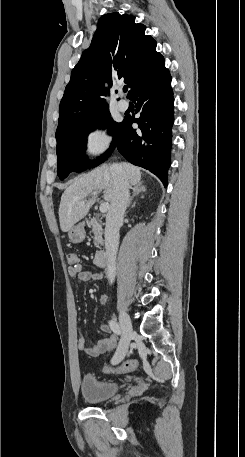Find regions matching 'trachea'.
<instances>
[{
  "instance_id": "1",
  "label": "trachea",
  "mask_w": 245,
  "mask_h": 457,
  "mask_svg": "<svg viewBox=\"0 0 245 457\" xmlns=\"http://www.w3.org/2000/svg\"><path fill=\"white\" fill-rule=\"evenodd\" d=\"M123 91H124V92H127V87H124V88H123Z\"/></svg>"
}]
</instances>
